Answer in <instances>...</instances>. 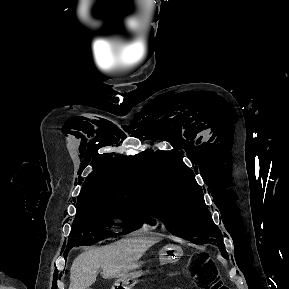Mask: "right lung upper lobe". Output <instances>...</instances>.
<instances>
[{
	"label": "right lung upper lobe",
	"mask_w": 289,
	"mask_h": 289,
	"mask_svg": "<svg viewBox=\"0 0 289 289\" xmlns=\"http://www.w3.org/2000/svg\"><path fill=\"white\" fill-rule=\"evenodd\" d=\"M126 161H129L126 156H115L107 162L108 168L97 167V170L86 178L78 202L104 200L134 202L135 183L129 173V167L125 165Z\"/></svg>",
	"instance_id": "1"
}]
</instances>
